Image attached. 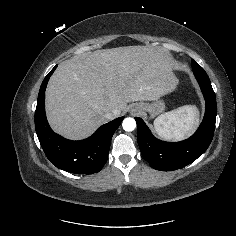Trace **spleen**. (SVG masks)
Listing matches in <instances>:
<instances>
[{"mask_svg":"<svg viewBox=\"0 0 236 236\" xmlns=\"http://www.w3.org/2000/svg\"><path fill=\"white\" fill-rule=\"evenodd\" d=\"M198 114V109L193 105L181 106L158 116L154 121L155 131L165 140H182L196 128Z\"/></svg>","mask_w":236,"mask_h":236,"instance_id":"3e777b00","label":"spleen"}]
</instances>
